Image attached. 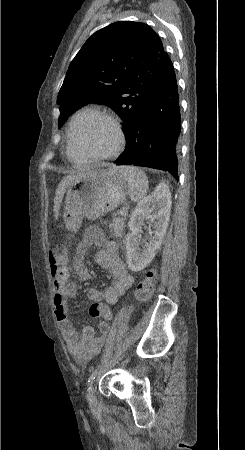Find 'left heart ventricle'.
Returning a JSON list of instances; mask_svg holds the SVG:
<instances>
[{
  "mask_svg": "<svg viewBox=\"0 0 245 450\" xmlns=\"http://www.w3.org/2000/svg\"><path fill=\"white\" fill-rule=\"evenodd\" d=\"M77 147L90 156L110 153L116 146L117 134L108 122L83 121L75 129Z\"/></svg>",
  "mask_w": 245,
  "mask_h": 450,
  "instance_id": "1",
  "label": "left heart ventricle"
}]
</instances>
